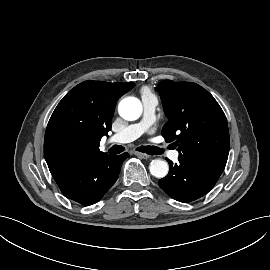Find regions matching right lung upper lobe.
<instances>
[{"label": "right lung upper lobe", "mask_w": 270, "mask_h": 270, "mask_svg": "<svg viewBox=\"0 0 270 270\" xmlns=\"http://www.w3.org/2000/svg\"><path fill=\"white\" fill-rule=\"evenodd\" d=\"M134 85L84 81L63 97L44 139V157L52 174L106 154L99 150L100 140L111 130L117 100Z\"/></svg>", "instance_id": "1"}]
</instances>
